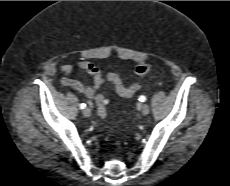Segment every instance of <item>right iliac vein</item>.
I'll return each mask as SVG.
<instances>
[{
	"mask_svg": "<svg viewBox=\"0 0 230 186\" xmlns=\"http://www.w3.org/2000/svg\"><path fill=\"white\" fill-rule=\"evenodd\" d=\"M83 114H84V116L89 117L91 115V109L89 107H86L83 110Z\"/></svg>",
	"mask_w": 230,
	"mask_h": 186,
	"instance_id": "1",
	"label": "right iliac vein"
}]
</instances>
